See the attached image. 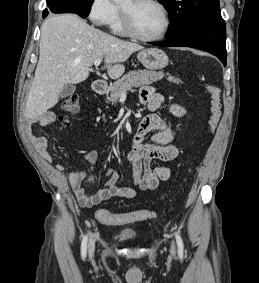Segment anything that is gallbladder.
I'll return each instance as SVG.
<instances>
[{
  "mask_svg": "<svg viewBox=\"0 0 259 283\" xmlns=\"http://www.w3.org/2000/svg\"><path fill=\"white\" fill-rule=\"evenodd\" d=\"M76 90V87L73 85H67L64 86L61 93H60V98H66L71 96Z\"/></svg>",
  "mask_w": 259,
  "mask_h": 283,
  "instance_id": "gallbladder-1",
  "label": "gallbladder"
}]
</instances>
